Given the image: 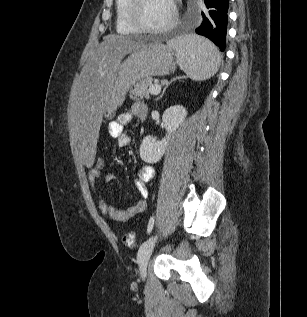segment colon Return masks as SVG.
<instances>
[{"mask_svg": "<svg viewBox=\"0 0 307 317\" xmlns=\"http://www.w3.org/2000/svg\"><path fill=\"white\" fill-rule=\"evenodd\" d=\"M106 166L105 159L103 157H97L95 160L94 169L102 171ZM136 240V234L134 232H128L122 237V241L127 246H133Z\"/></svg>", "mask_w": 307, "mask_h": 317, "instance_id": "colon-1", "label": "colon"}]
</instances>
